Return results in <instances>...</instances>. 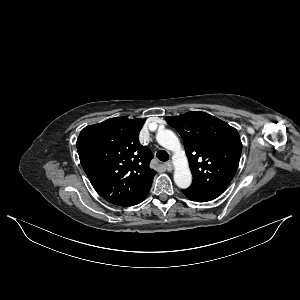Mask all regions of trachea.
<instances>
[{"label":"trachea","instance_id":"trachea-1","mask_svg":"<svg viewBox=\"0 0 300 300\" xmlns=\"http://www.w3.org/2000/svg\"><path fill=\"white\" fill-rule=\"evenodd\" d=\"M156 156L162 162H165L169 159V154L165 150H159Z\"/></svg>","mask_w":300,"mask_h":300}]
</instances>
